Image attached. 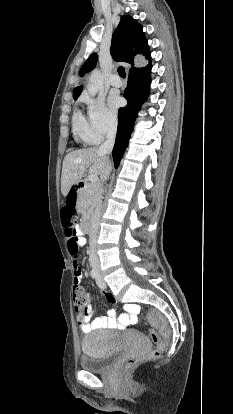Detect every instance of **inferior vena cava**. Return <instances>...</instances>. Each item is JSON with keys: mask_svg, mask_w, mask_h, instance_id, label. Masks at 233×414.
Here are the masks:
<instances>
[{"mask_svg": "<svg viewBox=\"0 0 233 414\" xmlns=\"http://www.w3.org/2000/svg\"><path fill=\"white\" fill-rule=\"evenodd\" d=\"M116 131H117V120H112L109 122L107 128V135L106 141L99 147V153L104 154L108 157V155L112 152L114 147L115 138H116ZM111 172V163L108 157V163L101 174L102 186L99 188L98 198H97V205L92 215V225L94 228V232L89 233V246H90V262L94 265L99 266V259L96 254L99 253L98 243H97V231L99 228L100 218H101V206H102V193H103V183L107 180Z\"/></svg>", "mask_w": 233, "mask_h": 414, "instance_id": "obj_1", "label": "inferior vena cava"}]
</instances>
